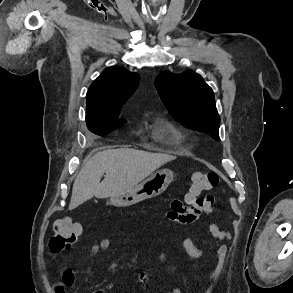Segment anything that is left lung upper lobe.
Returning a JSON list of instances; mask_svg holds the SVG:
<instances>
[{
  "label": "left lung upper lobe",
  "mask_w": 293,
  "mask_h": 293,
  "mask_svg": "<svg viewBox=\"0 0 293 293\" xmlns=\"http://www.w3.org/2000/svg\"><path fill=\"white\" fill-rule=\"evenodd\" d=\"M155 86L164 105L177 121L220 140V117L214 94L199 74L189 70L179 75L166 71L156 78Z\"/></svg>",
  "instance_id": "5c2ea615"
}]
</instances>
